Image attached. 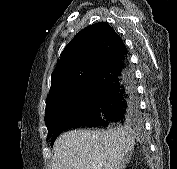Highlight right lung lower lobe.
<instances>
[{"label":"right lung lower lobe","mask_w":177,"mask_h":169,"mask_svg":"<svg viewBox=\"0 0 177 169\" xmlns=\"http://www.w3.org/2000/svg\"><path fill=\"white\" fill-rule=\"evenodd\" d=\"M91 81L94 92L90 103L57 128L51 137V144L60 133L71 128L107 127L140 117L135 75L127 52L100 70Z\"/></svg>","instance_id":"98d812e1"}]
</instances>
